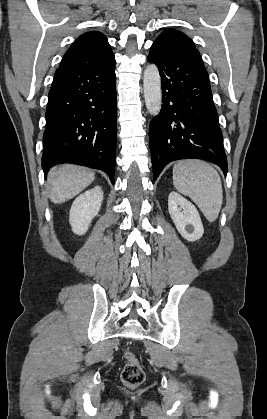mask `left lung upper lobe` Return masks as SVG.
Listing matches in <instances>:
<instances>
[{
	"instance_id": "5c2ea615",
	"label": "left lung upper lobe",
	"mask_w": 267,
	"mask_h": 419,
	"mask_svg": "<svg viewBox=\"0 0 267 419\" xmlns=\"http://www.w3.org/2000/svg\"><path fill=\"white\" fill-rule=\"evenodd\" d=\"M153 45H158L171 51L188 54L202 62L201 55L195 48L193 41L187 35L178 30L168 29L163 31L155 40Z\"/></svg>"
}]
</instances>
